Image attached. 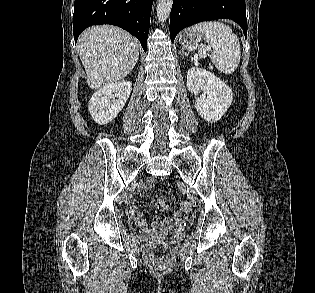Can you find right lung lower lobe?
<instances>
[{
    "label": "right lung lower lobe",
    "instance_id": "right-lung-lower-lobe-1",
    "mask_svg": "<svg viewBox=\"0 0 315 293\" xmlns=\"http://www.w3.org/2000/svg\"><path fill=\"white\" fill-rule=\"evenodd\" d=\"M153 0H75L73 34L94 24L119 26L137 37L146 51Z\"/></svg>",
    "mask_w": 315,
    "mask_h": 293
}]
</instances>
